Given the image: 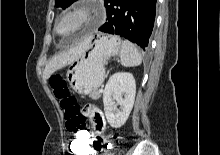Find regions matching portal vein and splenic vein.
Returning a JSON list of instances; mask_svg holds the SVG:
<instances>
[{
    "mask_svg": "<svg viewBox=\"0 0 220 155\" xmlns=\"http://www.w3.org/2000/svg\"><path fill=\"white\" fill-rule=\"evenodd\" d=\"M99 92H103V89H102V88H100V89H99Z\"/></svg>",
    "mask_w": 220,
    "mask_h": 155,
    "instance_id": "portal-vein-and-splenic-vein-1",
    "label": "portal vein and splenic vein"
}]
</instances>
